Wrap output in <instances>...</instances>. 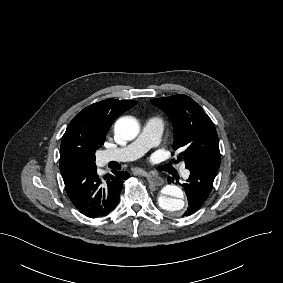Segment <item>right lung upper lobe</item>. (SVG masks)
<instances>
[{"instance_id": "right-lung-upper-lobe-1", "label": "right lung upper lobe", "mask_w": 283, "mask_h": 283, "mask_svg": "<svg viewBox=\"0 0 283 283\" xmlns=\"http://www.w3.org/2000/svg\"><path fill=\"white\" fill-rule=\"evenodd\" d=\"M137 104L133 100L107 99L84 108L70 122L66 129L78 133L97 132L107 134L112 122Z\"/></svg>"}]
</instances>
